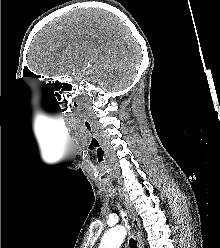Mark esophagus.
I'll return each mask as SVG.
<instances>
[{
  "mask_svg": "<svg viewBox=\"0 0 220 248\" xmlns=\"http://www.w3.org/2000/svg\"><path fill=\"white\" fill-rule=\"evenodd\" d=\"M120 196L125 204L127 213L129 215V217L131 218L132 221V225H133V229H134V234L137 240V245L138 248H142V236H141V224H140V219L138 218L135 209L133 207V205L131 204V202L128 200V198L126 197V195L120 190Z\"/></svg>",
  "mask_w": 220,
  "mask_h": 248,
  "instance_id": "34e87169",
  "label": "esophagus"
}]
</instances>
